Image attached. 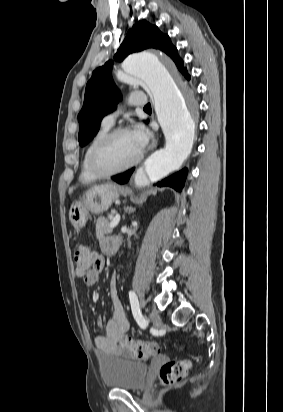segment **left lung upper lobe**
Wrapping results in <instances>:
<instances>
[{"mask_svg":"<svg viewBox=\"0 0 283 412\" xmlns=\"http://www.w3.org/2000/svg\"><path fill=\"white\" fill-rule=\"evenodd\" d=\"M148 48L159 49L166 53L175 62L181 73L184 76L188 75L169 36L146 21H139L128 31L114 58L121 62L129 54ZM111 69V61L106 62L92 73V77L87 83L83 107L78 115V140L81 146L86 145L96 136L100 128V119L112 112L116 103L121 99L112 80Z\"/></svg>","mask_w":283,"mask_h":412,"instance_id":"left-lung-upper-lobe-1","label":"left lung upper lobe"}]
</instances>
